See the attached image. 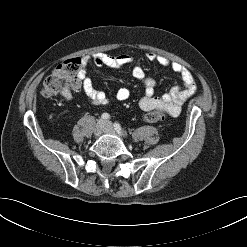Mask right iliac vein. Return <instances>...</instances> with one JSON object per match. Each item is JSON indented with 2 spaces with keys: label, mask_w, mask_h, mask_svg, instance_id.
Here are the masks:
<instances>
[{
  "label": "right iliac vein",
  "mask_w": 247,
  "mask_h": 247,
  "mask_svg": "<svg viewBox=\"0 0 247 247\" xmlns=\"http://www.w3.org/2000/svg\"><path fill=\"white\" fill-rule=\"evenodd\" d=\"M104 129H105V122L102 119L98 120L94 128V135L95 136L101 135Z\"/></svg>",
  "instance_id": "1"
}]
</instances>
